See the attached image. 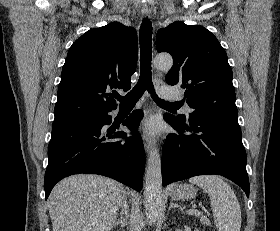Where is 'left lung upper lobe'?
<instances>
[{
    "mask_svg": "<svg viewBox=\"0 0 280 231\" xmlns=\"http://www.w3.org/2000/svg\"><path fill=\"white\" fill-rule=\"evenodd\" d=\"M156 48L173 57L166 81L186 89L187 104L195 109L189 117L238 116L232 69L225 50L209 30L174 22L158 31ZM180 117L185 120L184 115Z\"/></svg>",
    "mask_w": 280,
    "mask_h": 231,
    "instance_id": "left-lung-upper-lobe-1",
    "label": "left lung upper lobe"
}]
</instances>
